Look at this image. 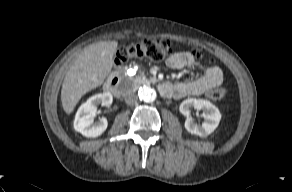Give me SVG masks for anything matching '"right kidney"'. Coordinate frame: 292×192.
<instances>
[{
	"label": "right kidney",
	"instance_id": "ca27d5eb",
	"mask_svg": "<svg viewBox=\"0 0 292 192\" xmlns=\"http://www.w3.org/2000/svg\"><path fill=\"white\" fill-rule=\"evenodd\" d=\"M112 101L113 97L110 93L96 94L90 97L79 107L74 119V129L85 137L100 136L107 129L108 122L106 118L94 122L97 106L99 104L109 106Z\"/></svg>",
	"mask_w": 292,
	"mask_h": 192
}]
</instances>
